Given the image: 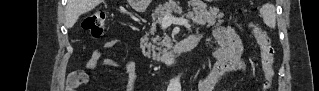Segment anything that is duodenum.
Wrapping results in <instances>:
<instances>
[{
    "label": "duodenum",
    "instance_id": "410a0bca",
    "mask_svg": "<svg viewBox=\"0 0 319 91\" xmlns=\"http://www.w3.org/2000/svg\"><path fill=\"white\" fill-rule=\"evenodd\" d=\"M198 42V34L190 35L188 38L178 42L170 50L157 54L152 58L153 61L164 63V64H173L175 63L178 56L192 50Z\"/></svg>",
    "mask_w": 319,
    "mask_h": 91
}]
</instances>
